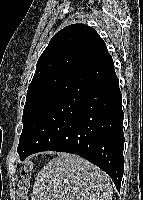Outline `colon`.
Wrapping results in <instances>:
<instances>
[{
	"mask_svg": "<svg viewBox=\"0 0 143 200\" xmlns=\"http://www.w3.org/2000/svg\"><path fill=\"white\" fill-rule=\"evenodd\" d=\"M31 165L24 166L17 179V200H28V188L30 185Z\"/></svg>",
	"mask_w": 143,
	"mask_h": 200,
	"instance_id": "1",
	"label": "colon"
}]
</instances>
